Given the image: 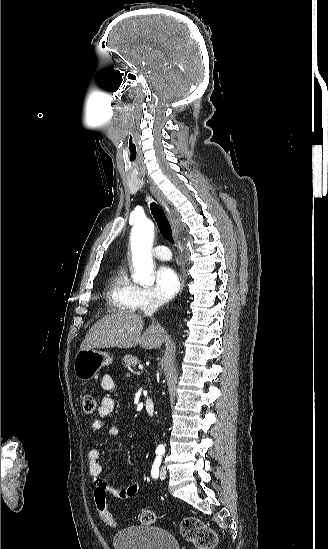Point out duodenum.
Segmentation results:
<instances>
[{"label":"duodenum","instance_id":"1","mask_svg":"<svg viewBox=\"0 0 328 549\" xmlns=\"http://www.w3.org/2000/svg\"><path fill=\"white\" fill-rule=\"evenodd\" d=\"M145 410L149 415H153L155 413V403L152 399L148 398L145 401Z\"/></svg>","mask_w":328,"mask_h":549}]
</instances>
